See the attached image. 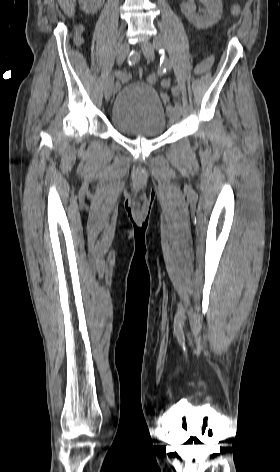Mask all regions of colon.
Returning a JSON list of instances; mask_svg holds the SVG:
<instances>
[{
	"label": "colon",
	"mask_w": 280,
	"mask_h": 472,
	"mask_svg": "<svg viewBox=\"0 0 280 472\" xmlns=\"http://www.w3.org/2000/svg\"><path fill=\"white\" fill-rule=\"evenodd\" d=\"M240 11V6L238 3L234 4L233 7H232V12L233 14H238ZM158 81V75L157 74H150L147 76V82L149 84H155L156 82Z\"/></svg>",
	"instance_id": "obj_1"
}]
</instances>
